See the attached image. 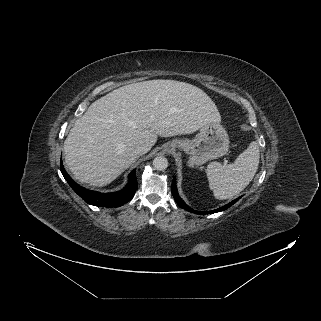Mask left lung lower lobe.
Segmentation results:
<instances>
[{
    "instance_id": "1",
    "label": "left lung lower lobe",
    "mask_w": 321,
    "mask_h": 321,
    "mask_svg": "<svg viewBox=\"0 0 321 321\" xmlns=\"http://www.w3.org/2000/svg\"><path fill=\"white\" fill-rule=\"evenodd\" d=\"M172 195H173L176 203H177L181 208H183V209H185V210H188V211H190V212H192V213L203 214V215H205V214H212V213H216V212H220V211H224V210L228 209L230 206H232L234 203H236V202L240 199V197H239V198L233 200L232 202H230V203H228V204H226V205H224V206H222V207H220V208H218V209H215V210H213V211H208V212L195 211V210L191 209L188 205H186L185 202H184V201L180 198V196L178 195L175 178H174L173 181H172Z\"/></svg>"
}]
</instances>
